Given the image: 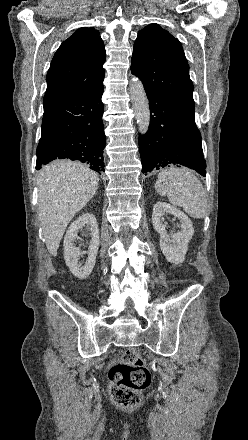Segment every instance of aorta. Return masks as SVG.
I'll use <instances>...</instances> for the list:
<instances>
[{
  "label": "aorta",
  "instance_id": "762f6f07",
  "mask_svg": "<svg viewBox=\"0 0 248 440\" xmlns=\"http://www.w3.org/2000/svg\"><path fill=\"white\" fill-rule=\"evenodd\" d=\"M130 97L135 111L138 130L141 134H146L150 125L149 101L142 82L138 78H133L130 83Z\"/></svg>",
  "mask_w": 248,
  "mask_h": 440
}]
</instances>
